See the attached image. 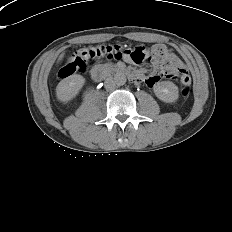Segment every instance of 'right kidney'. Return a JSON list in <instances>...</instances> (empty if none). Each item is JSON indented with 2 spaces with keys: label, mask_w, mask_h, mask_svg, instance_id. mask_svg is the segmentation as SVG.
Masks as SVG:
<instances>
[{
  "label": "right kidney",
  "mask_w": 232,
  "mask_h": 232,
  "mask_svg": "<svg viewBox=\"0 0 232 232\" xmlns=\"http://www.w3.org/2000/svg\"><path fill=\"white\" fill-rule=\"evenodd\" d=\"M85 79L80 75H71L62 81L56 87L57 99L62 102L72 100L81 90Z\"/></svg>",
  "instance_id": "right-kidney-1"
}]
</instances>
